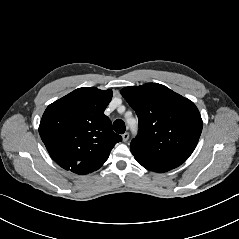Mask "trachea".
I'll list each match as a JSON object with an SVG mask.
<instances>
[{
  "mask_svg": "<svg viewBox=\"0 0 239 239\" xmlns=\"http://www.w3.org/2000/svg\"><path fill=\"white\" fill-rule=\"evenodd\" d=\"M113 129L118 134H123L126 130V126L123 120L117 119L113 123Z\"/></svg>",
  "mask_w": 239,
  "mask_h": 239,
  "instance_id": "trachea-1",
  "label": "trachea"
}]
</instances>
